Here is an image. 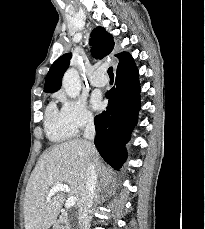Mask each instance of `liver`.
<instances>
[{"mask_svg": "<svg viewBox=\"0 0 205 229\" xmlns=\"http://www.w3.org/2000/svg\"><path fill=\"white\" fill-rule=\"evenodd\" d=\"M89 160L95 165L96 174L105 172V166L95 147L86 140L74 139L53 146L44 152L29 178L25 200L24 221L26 229H49L56 221L64 201V194L57 192L47 199L50 188L66 183L78 198V205L86 184ZM106 182L109 178H105Z\"/></svg>", "mask_w": 205, "mask_h": 229, "instance_id": "obj_1", "label": "liver"}]
</instances>
